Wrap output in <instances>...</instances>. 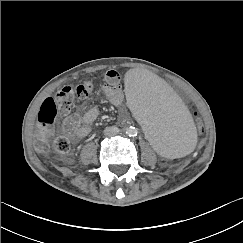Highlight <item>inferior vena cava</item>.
Masks as SVG:
<instances>
[{
  "label": "inferior vena cava",
  "mask_w": 243,
  "mask_h": 243,
  "mask_svg": "<svg viewBox=\"0 0 243 243\" xmlns=\"http://www.w3.org/2000/svg\"><path fill=\"white\" fill-rule=\"evenodd\" d=\"M119 132V129L115 126H112V127H107L105 130H104V134L106 136H112V135H115Z\"/></svg>",
  "instance_id": "602c4592"
}]
</instances>
